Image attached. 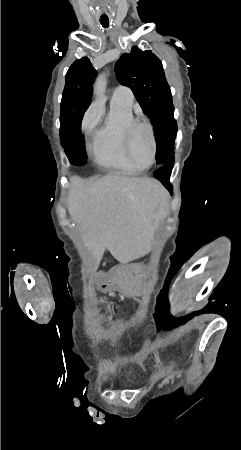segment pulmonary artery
Segmentation results:
<instances>
[{"mask_svg":"<svg viewBox=\"0 0 241 450\" xmlns=\"http://www.w3.org/2000/svg\"><path fill=\"white\" fill-rule=\"evenodd\" d=\"M113 101H122V102L132 104V101H133L132 92L128 88H124V89L117 88L112 95V102Z\"/></svg>","mask_w":241,"mask_h":450,"instance_id":"obj_1","label":"pulmonary artery"}]
</instances>
